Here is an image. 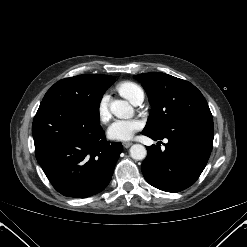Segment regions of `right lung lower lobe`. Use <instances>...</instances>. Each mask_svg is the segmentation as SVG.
I'll list each match as a JSON object with an SVG mask.
<instances>
[{
    "label": "right lung lower lobe",
    "mask_w": 247,
    "mask_h": 247,
    "mask_svg": "<svg viewBox=\"0 0 247 247\" xmlns=\"http://www.w3.org/2000/svg\"><path fill=\"white\" fill-rule=\"evenodd\" d=\"M32 134L39 165L53 187L68 197L102 191L123 150L120 142L106 140L99 114L61 101L41 102Z\"/></svg>",
    "instance_id": "1"
}]
</instances>
